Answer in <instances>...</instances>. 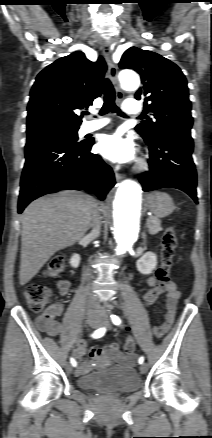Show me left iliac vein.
<instances>
[{"label": "left iliac vein", "instance_id": "left-iliac-vein-1", "mask_svg": "<svg viewBox=\"0 0 212 438\" xmlns=\"http://www.w3.org/2000/svg\"><path fill=\"white\" fill-rule=\"evenodd\" d=\"M100 325H105V326H109V320L107 318V316L105 314H101L100 315ZM148 370V366L147 364H141L140 366V372L142 374L146 373Z\"/></svg>", "mask_w": 212, "mask_h": 438}]
</instances>
